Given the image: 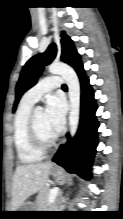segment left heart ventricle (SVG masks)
Segmentation results:
<instances>
[{
    "label": "left heart ventricle",
    "instance_id": "obj_1",
    "mask_svg": "<svg viewBox=\"0 0 123 219\" xmlns=\"http://www.w3.org/2000/svg\"><path fill=\"white\" fill-rule=\"evenodd\" d=\"M35 121L38 132L43 140L50 141L56 136L47 124L44 111L39 110L35 112Z\"/></svg>",
    "mask_w": 123,
    "mask_h": 219
}]
</instances>
